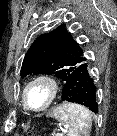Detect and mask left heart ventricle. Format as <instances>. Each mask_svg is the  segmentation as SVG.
I'll list each match as a JSON object with an SVG mask.
<instances>
[{"mask_svg": "<svg viewBox=\"0 0 117 136\" xmlns=\"http://www.w3.org/2000/svg\"><path fill=\"white\" fill-rule=\"evenodd\" d=\"M48 96L49 91L45 85L35 84L28 90L27 101L30 107L38 109L45 105Z\"/></svg>", "mask_w": 117, "mask_h": 136, "instance_id": "obj_1", "label": "left heart ventricle"}]
</instances>
